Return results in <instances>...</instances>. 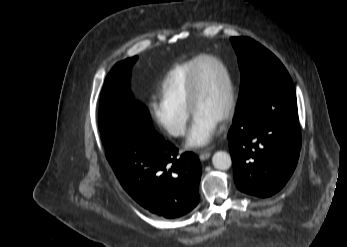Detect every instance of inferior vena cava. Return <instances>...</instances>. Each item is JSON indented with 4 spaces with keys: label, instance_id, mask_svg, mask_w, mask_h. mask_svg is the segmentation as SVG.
Returning a JSON list of instances; mask_svg holds the SVG:
<instances>
[{
    "label": "inferior vena cava",
    "instance_id": "inferior-vena-cava-1",
    "mask_svg": "<svg viewBox=\"0 0 347 247\" xmlns=\"http://www.w3.org/2000/svg\"><path fill=\"white\" fill-rule=\"evenodd\" d=\"M176 133H177L178 135L184 133V127H180V128H178V129H176Z\"/></svg>",
    "mask_w": 347,
    "mask_h": 247
}]
</instances>
